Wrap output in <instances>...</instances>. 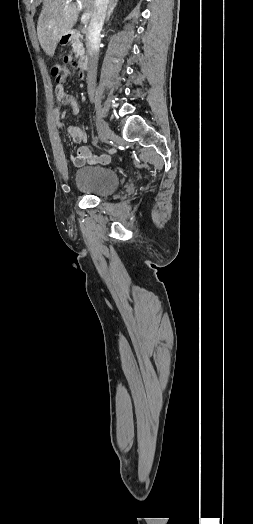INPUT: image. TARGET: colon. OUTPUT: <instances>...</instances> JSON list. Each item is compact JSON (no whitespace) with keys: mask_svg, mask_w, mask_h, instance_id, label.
Here are the masks:
<instances>
[{"mask_svg":"<svg viewBox=\"0 0 253 524\" xmlns=\"http://www.w3.org/2000/svg\"><path fill=\"white\" fill-rule=\"evenodd\" d=\"M71 74L77 79H82L85 76V71L78 65L77 53H62L61 64H55L51 67V75L55 79L56 88L63 89Z\"/></svg>","mask_w":253,"mask_h":524,"instance_id":"colon-1","label":"colon"}]
</instances>
